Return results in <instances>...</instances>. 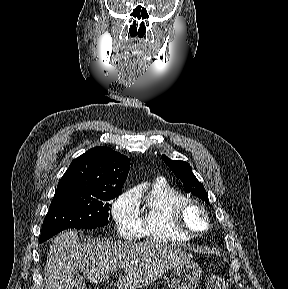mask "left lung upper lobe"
<instances>
[{
    "mask_svg": "<svg viewBox=\"0 0 288 289\" xmlns=\"http://www.w3.org/2000/svg\"><path fill=\"white\" fill-rule=\"evenodd\" d=\"M163 160L166 165L174 172L175 176L183 182L186 192L201 198L206 203H209L207 192L204 186L197 180L192 173L191 167L187 162L180 160H170L163 155Z\"/></svg>",
    "mask_w": 288,
    "mask_h": 289,
    "instance_id": "1",
    "label": "left lung upper lobe"
}]
</instances>
